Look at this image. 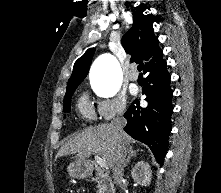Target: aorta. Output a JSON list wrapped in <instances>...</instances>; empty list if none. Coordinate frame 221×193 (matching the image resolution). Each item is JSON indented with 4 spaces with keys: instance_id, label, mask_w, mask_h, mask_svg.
<instances>
[{
    "instance_id": "obj_1",
    "label": "aorta",
    "mask_w": 221,
    "mask_h": 193,
    "mask_svg": "<svg viewBox=\"0 0 221 193\" xmlns=\"http://www.w3.org/2000/svg\"><path fill=\"white\" fill-rule=\"evenodd\" d=\"M95 91L102 97H113L121 86V68L111 54L101 55L93 64Z\"/></svg>"
}]
</instances>
